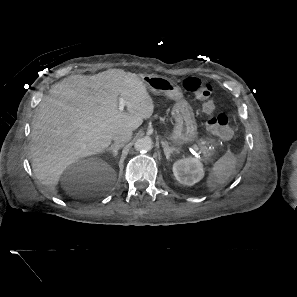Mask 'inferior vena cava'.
<instances>
[{
  "mask_svg": "<svg viewBox=\"0 0 297 297\" xmlns=\"http://www.w3.org/2000/svg\"><path fill=\"white\" fill-rule=\"evenodd\" d=\"M132 138V131L129 129L118 130L113 139L117 146H124L125 143L129 142Z\"/></svg>",
  "mask_w": 297,
  "mask_h": 297,
  "instance_id": "obj_1",
  "label": "inferior vena cava"
}]
</instances>
